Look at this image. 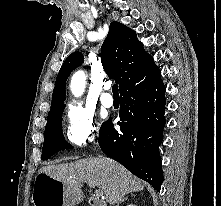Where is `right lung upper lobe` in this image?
Segmentation results:
<instances>
[{
    "mask_svg": "<svg viewBox=\"0 0 221 206\" xmlns=\"http://www.w3.org/2000/svg\"><path fill=\"white\" fill-rule=\"evenodd\" d=\"M101 60L105 72L120 85V90L154 65L153 58L145 52L135 31L116 21L110 24L108 36L101 48ZM82 62L83 55L80 52L72 53L64 61L56 78L50 112L64 107L66 80Z\"/></svg>",
    "mask_w": 221,
    "mask_h": 206,
    "instance_id": "cb5924a9",
    "label": "right lung upper lobe"
}]
</instances>
